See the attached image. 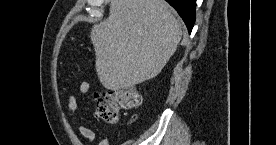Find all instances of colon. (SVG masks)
<instances>
[{
    "label": "colon",
    "instance_id": "obj_1",
    "mask_svg": "<svg viewBox=\"0 0 276 145\" xmlns=\"http://www.w3.org/2000/svg\"><path fill=\"white\" fill-rule=\"evenodd\" d=\"M93 99L97 115L106 122L116 123L119 120L120 110L138 108L142 104L143 96L135 86L125 85L95 93Z\"/></svg>",
    "mask_w": 276,
    "mask_h": 145
}]
</instances>
